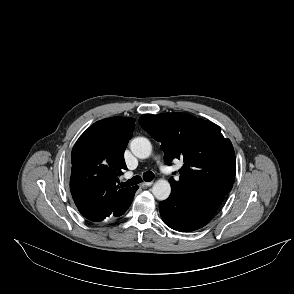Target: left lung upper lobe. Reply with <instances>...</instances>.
<instances>
[{"label":"left lung upper lobe","mask_w":294,"mask_h":294,"mask_svg":"<svg viewBox=\"0 0 294 294\" xmlns=\"http://www.w3.org/2000/svg\"><path fill=\"white\" fill-rule=\"evenodd\" d=\"M139 123L161 142L167 164L183 159L178 181L169 179L172 191L222 202L236 174L235 152L216 124L185 113L144 114Z\"/></svg>","instance_id":"left-lung-upper-lobe-1"}]
</instances>
